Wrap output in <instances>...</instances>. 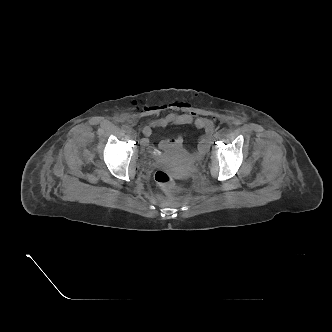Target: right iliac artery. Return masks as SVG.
Segmentation results:
<instances>
[{
    "instance_id": "right-iliac-artery-1",
    "label": "right iliac artery",
    "mask_w": 332,
    "mask_h": 332,
    "mask_svg": "<svg viewBox=\"0 0 332 332\" xmlns=\"http://www.w3.org/2000/svg\"><path fill=\"white\" fill-rule=\"evenodd\" d=\"M129 129H130V128H129L128 126H123V127H122V130H123V131H129Z\"/></svg>"
}]
</instances>
